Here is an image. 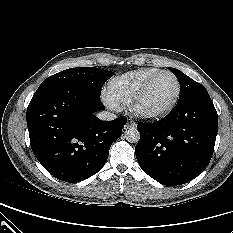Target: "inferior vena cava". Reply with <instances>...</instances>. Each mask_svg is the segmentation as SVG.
<instances>
[{
  "label": "inferior vena cava",
  "mask_w": 233,
  "mask_h": 233,
  "mask_svg": "<svg viewBox=\"0 0 233 233\" xmlns=\"http://www.w3.org/2000/svg\"><path fill=\"white\" fill-rule=\"evenodd\" d=\"M97 117L100 120L104 121H110L116 119V115L114 113L108 112V111H101L97 114Z\"/></svg>",
  "instance_id": "602c4592"
}]
</instances>
